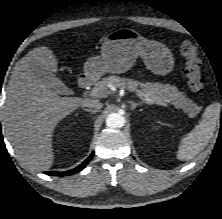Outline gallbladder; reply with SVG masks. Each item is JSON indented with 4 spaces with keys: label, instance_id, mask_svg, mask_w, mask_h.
I'll use <instances>...</instances> for the list:
<instances>
[{
    "label": "gallbladder",
    "instance_id": "1",
    "mask_svg": "<svg viewBox=\"0 0 222 219\" xmlns=\"http://www.w3.org/2000/svg\"><path fill=\"white\" fill-rule=\"evenodd\" d=\"M40 81L48 85L53 91L59 94H70V89L52 72L42 66L33 69Z\"/></svg>",
    "mask_w": 222,
    "mask_h": 219
}]
</instances>
